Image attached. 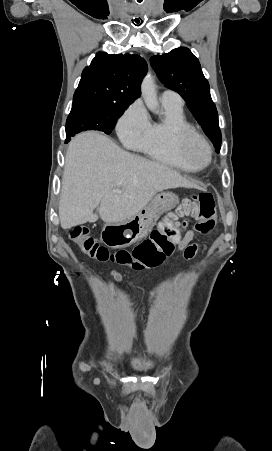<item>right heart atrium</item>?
<instances>
[{
	"mask_svg": "<svg viewBox=\"0 0 272 451\" xmlns=\"http://www.w3.org/2000/svg\"><path fill=\"white\" fill-rule=\"evenodd\" d=\"M149 117L142 103H133L123 114L117 125L120 138L131 145L140 143L149 129Z\"/></svg>",
	"mask_w": 272,
	"mask_h": 451,
	"instance_id": "d8ad5b80",
	"label": "right heart atrium"
}]
</instances>
